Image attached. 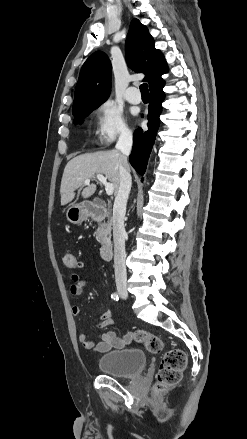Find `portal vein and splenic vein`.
<instances>
[{"mask_svg":"<svg viewBox=\"0 0 247 439\" xmlns=\"http://www.w3.org/2000/svg\"><path fill=\"white\" fill-rule=\"evenodd\" d=\"M104 186L107 195H112L114 192V185L112 183L107 182V178L102 174H97L95 176ZM90 183V178L84 180V184L88 185Z\"/></svg>","mask_w":247,"mask_h":439,"instance_id":"18ae733b","label":"portal vein and splenic vein"}]
</instances>
